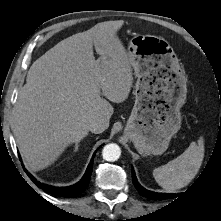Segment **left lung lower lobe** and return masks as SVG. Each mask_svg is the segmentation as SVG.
<instances>
[{
  "label": "left lung lower lobe",
  "mask_w": 221,
  "mask_h": 221,
  "mask_svg": "<svg viewBox=\"0 0 221 221\" xmlns=\"http://www.w3.org/2000/svg\"><path fill=\"white\" fill-rule=\"evenodd\" d=\"M132 180H133V183H134L136 189L138 190V192L142 196L147 197L152 200H164V199L174 198L179 195H182V194L156 193V192H152V191H149V190L143 188L142 186L139 185V183L136 179L134 170H132Z\"/></svg>",
  "instance_id": "1"
}]
</instances>
